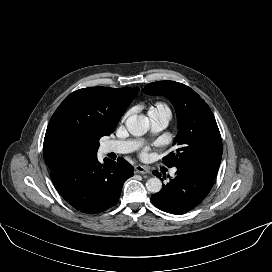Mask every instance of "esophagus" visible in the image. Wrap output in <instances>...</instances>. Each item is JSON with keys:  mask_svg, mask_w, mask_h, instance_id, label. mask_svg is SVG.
Returning <instances> with one entry per match:
<instances>
[{"mask_svg": "<svg viewBox=\"0 0 272 272\" xmlns=\"http://www.w3.org/2000/svg\"><path fill=\"white\" fill-rule=\"evenodd\" d=\"M135 172L140 174H148L150 172L149 168L143 165H136Z\"/></svg>", "mask_w": 272, "mask_h": 272, "instance_id": "esophagus-1", "label": "esophagus"}]
</instances>
